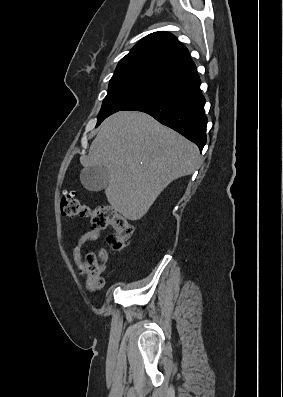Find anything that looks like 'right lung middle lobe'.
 <instances>
[{
    "instance_id": "obj_1",
    "label": "right lung middle lobe",
    "mask_w": 283,
    "mask_h": 397,
    "mask_svg": "<svg viewBox=\"0 0 283 397\" xmlns=\"http://www.w3.org/2000/svg\"><path fill=\"white\" fill-rule=\"evenodd\" d=\"M168 84L143 72L114 74L103 100L96 127L108 116Z\"/></svg>"
}]
</instances>
